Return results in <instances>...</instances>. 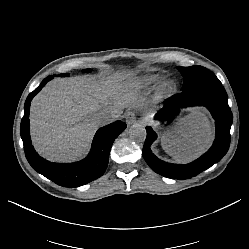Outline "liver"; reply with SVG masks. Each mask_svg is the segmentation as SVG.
Instances as JSON below:
<instances>
[{"label": "liver", "instance_id": "obj_1", "mask_svg": "<svg viewBox=\"0 0 249 249\" xmlns=\"http://www.w3.org/2000/svg\"><path fill=\"white\" fill-rule=\"evenodd\" d=\"M133 73H114L98 80L94 76L55 78L32 100L30 133L36 151L52 162L82 158L89 148L102 114L118 119L124 108L143 102L138 98ZM144 117V123H156ZM214 140V127L206 111L193 109L161 137L174 160L190 162L203 154Z\"/></svg>", "mask_w": 249, "mask_h": 249}]
</instances>
